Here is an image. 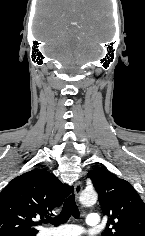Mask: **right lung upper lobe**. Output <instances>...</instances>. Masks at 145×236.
Returning a JSON list of instances; mask_svg holds the SVG:
<instances>
[{
  "label": "right lung upper lobe",
  "instance_id": "1",
  "mask_svg": "<svg viewBox=\"0 0 145 236\" xmlns=\"http://www.w3.org/2000/svg\"><path fill=\"white\" fill-rule=\"evenodd\" d=\"M72 187L47 170L14 178L0 193V236H35V226L62 205Z\"/></svg>",
  "mask_w": 145,
  "mask_h": 236
}]
</instances>
